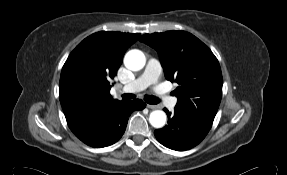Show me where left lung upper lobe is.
Here are the masks:
<instances>
[{"label":"left lung upper lobe","instance_id":"5c2ea615","mask_svg":"<svg viewBox=\"0 0 287 175\" xmlns=\"http://www.w3.org/2000/svg\"><path fill=\"white\" fill-rule=\"evenodd\" d=\"M141 42L154 48L165 77L178 83L175 110L209 132L222 96V73L212 51L185 31L144 34Z\"/></svg>","mask_w":287,"mask_h":175}]
</instances>
